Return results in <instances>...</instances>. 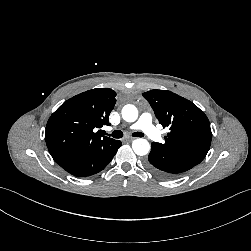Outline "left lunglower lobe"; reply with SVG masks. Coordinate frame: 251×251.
<instances>
[{
  "instance_id": "0a47b994",
  "label": "left lung lower lobe",
  "mask_w": 251,
  "mask_h": 251,
  "mask_svg": "<svg viewBox=\"0 0 251 251\" xmlns=\"http://www.w3.org/2000/svg\"><path fill=\"white\" fill-rule=\"evenodd\" d=\"M198 162L175 152L163 150L152 143L151 152L145 162L146 167L156 176L163 179H173Z\"/></svg>"
}]
</instances>
